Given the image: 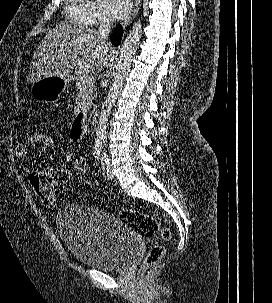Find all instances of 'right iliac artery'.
I'll use <instances>...</instances> for the list:
<instances>
[{
  "label": "right iliac artery",
  "instance_id": "1",
  "mask_svg": "<svg viewBox=\"0 0 272 303\" xmlns=\"http://www.w3.org/2000/svg\"><path fill=\"white\" fill-rule=\"evenodd\" d=\"M101 150H102V145L97 143L94 146V153H93L96 160H99L101 158Z\"/></svg>",
  "mask_w": 272,
  "mask_h": 303
}]
</instances>
